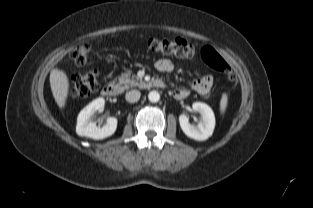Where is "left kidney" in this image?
<instances>
[{"mask_svg": "<svg viewBox=\"0 0 313 208\" xmlns=\"http://www.w3.org/2000/svg\"><path fill=\"white\" fill-rule=\"evenodd\" d=\"M192 108L195 112L201 114L200 122L197 126H193L189 123L188 117L181 114L179 116L180 127L189 138L204 141L212 135L215 127V116L213 110L207 104L202 102L193 103Z\"/></svg>", "mask_w": 313, "mask_h": 208, "instance_id": "obj_1", "label": "left kidney"}]
</instances>
